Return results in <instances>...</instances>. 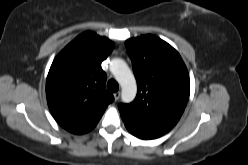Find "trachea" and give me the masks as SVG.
<instances>
[{
    "label": "trachea",
    "instance_id": "trachea-1",
    "mask_svg": "<svg viewBox=\"0 0 248 165\" xmlns=\"http://www.w3.org/2000/svg\"><path fill=\"white\" fill-rule=\"evenodd\" d=\"M107 88L111 92H117L119 89V85L115 80L111 79L107 83Z\"/></svg>",
    "mask_w": 248,
    "mask_h": 165
}]
</instances>
